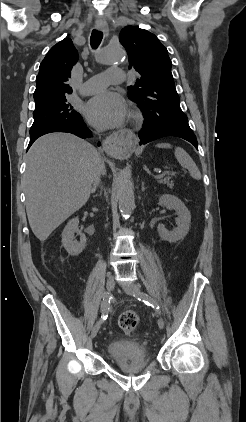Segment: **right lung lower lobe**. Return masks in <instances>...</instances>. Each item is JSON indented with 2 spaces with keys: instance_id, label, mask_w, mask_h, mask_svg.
<instances>
[{
  "instance_id": "98d812e1",
  "label": "right lung lower lobe",
  "mask_w": 246,
  "mask_h": 422,
  "mask_svg": "<svg viewBox=\"0 0 246 422\" xmlns=\"http://www.w3.org/2000/svg\"><path fill=\"white\" fill-rule=\"evenodd\" d=\"M52 132H67V133H72L78 137L81 138H86V137H90L91 136V132L90 130L87 128L86 124L84 123L83 119L79 120L76 123L73 124H59V125H54L51 127H48L46 129H43L39 132L30 134V142L28 145V149L29 147L33 144V142L39 138L40 136L47 134V133H52ZM98 145H100V143H98Z\"/></svg>"
}]
</instances>
